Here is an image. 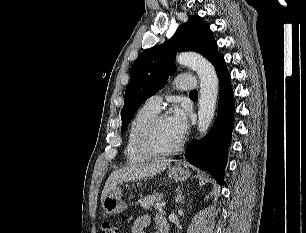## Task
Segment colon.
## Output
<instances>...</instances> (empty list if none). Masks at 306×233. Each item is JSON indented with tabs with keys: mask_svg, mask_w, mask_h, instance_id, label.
Instances as JSON below:
<instances>
[{
	"mask_svg": "<svg viewBox=\"0 0 306 233\" xmlns=\"http://www.w3.org/2000/svg\"><path fill=\"white\" fill-rule=\"evenodd\" d=\"M100 233H119V230L114 224L103 222L100 226Z\"/></svg>",
	"mask_w": 306,
	"mask_h": 233,
	"instance_id": "1",
	"label": "colon"
}]
</instances>
